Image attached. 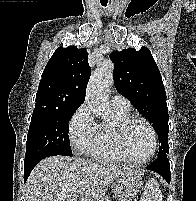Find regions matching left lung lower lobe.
<instances>
[{
	"instance_id": "1",
	"label": "left lung lower lobe",
	"mask_w": 196,
	"mask_h": 201,
	"mask_svg": "<svg viewBox=\"0 0 196 201\" xmlns=\"http://www.w3.org/2000/svg\"><path fill=\"white\" fill-rule=\"evenodd\" d=\"M148 170L155 171L160 174L168 183L171 180L170 164L167 155L158 157L149 167Z\"/></svg>"
}]
</instances>
